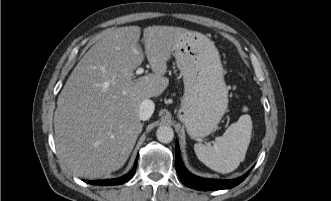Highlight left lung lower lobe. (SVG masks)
<instances>
[{
  "instance_id": "1",
  "label": "left lung lower lobe",
  "mask_w": 331,
  "mask_h": 201,
  "mask_svg": "<svg viewBox=\"0 0 331 201\" xmlns=\"http://www.w3.org/2000/svg\"><path fill=\"white\" fill-rule=\"evenodd\" d=\"M175 168L181 181L186 186L202 191L221 190V189H229L235 187L236 185L241 183L249 174V172H247L245 175L232 180H215V179H205V178L197 177L191 174L184 167L182 160L180 158L178 144H176Z\"/></svg>"
}]
</instances>
